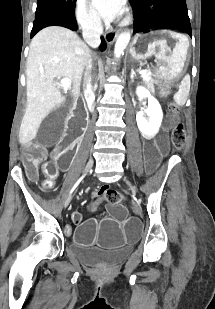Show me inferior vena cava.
I'll use <instances>...</instances> for the list:
<instances>
[{"instance_id": "obj_1", "label": "inferior vena cava", "mask_w": 215, "mask_h": 309, "mask_svg": "<svg viewBox=\"0 0 215 309\" xmlns=\"http://www.w3.org/2000/svg\"><path fill=\"white\" fill-rule=\"evenodd\" d=\"M81 26L84 40H86L89 46L97 48L101 42L100 36L103 34L101 18H88V20L82 22ZM92 66V58H88V60H86L83 74V94L90 112H94L95 108V86L92 84Z\"/></svg>"}]
</instances>
